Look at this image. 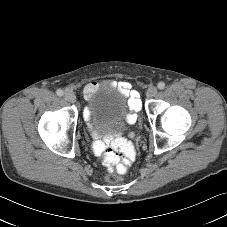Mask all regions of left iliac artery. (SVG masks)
<instances>
[{"mask_svg": "<svg viewBox=\"0 0 227 227\" xmlns=\"http://www.w3.org/2000/svg\"><path fill=\"white\" fill-rule=\"evenodd\" d=\"M157 86H158V89L162 90V89L165 88V83L164 82H159Z\"/></svg>", "mask_w": 227, "mask_h": 227, "instance_id": "44dca946", "label": "left iliac artery"}]
</instances>
